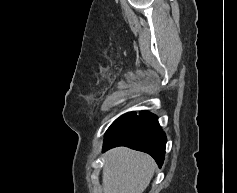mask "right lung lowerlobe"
I'll use <instances>...</instances> for the list:
<instances>
[{
    "mask_svg": "<svg viewBox=\"0 0 237 193\" xmlns=\"http://www.w3.org/2000/svg\"><path fill=\"white\" fill-rule=\"evenodd\" d=\"M165 145L166 136L158 123L157 116L145 111H141L138 115L129 112L116 119L108 128L103 152L116 146H127L148 153L161 167Z\"/></svg>",
    "mask_w": 237,
    "mask_h": 193,
    "instance_id": "obj_1",
    "label": "right lung lower lobe"
}]
</instances>
